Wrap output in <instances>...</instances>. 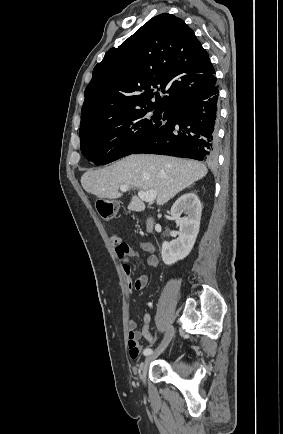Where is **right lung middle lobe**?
I'll use <instances>...</instances> for the list:
<instances>
[{
	"label": "right lung middle lobe",
	"mask_w": 283,
	"mask_h": 434,
	"mask_svg": "<svg viewBox=\"0 0 283 434\" xmlns=\"http://www.w3.org/2000/svg\"><path fill=\"white\" fill-rule=\"evenodd\" d=\"M152 110L156 112L153 116L149 113ZM163 111L154 108L135 109L80 130L82 154L96 165L132 154L163 124L159 121L162 116L158 114Z\"/></svg>",
	"instance_id": "right-lung-middle-lobe-1"
}]
</instances>
